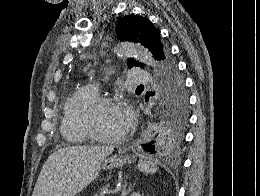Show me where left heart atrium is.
<instances>
[{
	"label": "left heart atrium",
	"instance_id": "obj_1",
	"mask_svg": "<svg viewBox=\"0 0 260 196\" xmlns=\"http://www.w3.org/2000/svg\"><path fill=\"white\" fill-rule=\"evenodd\" d=\"M123 115H124V120H125L126 124H128V122L130 121V119L132 117V112H131V109L126 105H123Z\"/></svg>",
	"mask_w": 260,
	"mask_h": 196
}]
</instances>
